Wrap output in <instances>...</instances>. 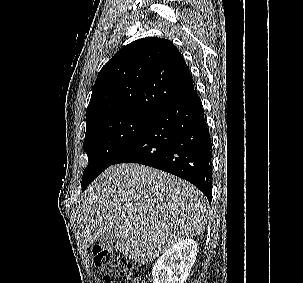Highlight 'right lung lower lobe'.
<instances>
[{
	"label": "right lung lower lobe",
	"instance_id": "98d812e1",
	"mask_svg": "<svg viewBox=\"0 0 303 283\" xmlns=\"http://www.w3.org/2000/svg\"><path fill=\"white\" fill-rule=\"evenodd\" d=\"M211 139L197 91L156 113L136 140L113 162L139 163L179 176L211 200Z\"/></svg>",
	"mask_w": 303,
	"mask_h": 283
}]
</instances>
